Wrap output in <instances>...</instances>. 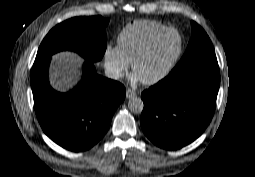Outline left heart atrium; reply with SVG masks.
Returning a JSON list of instances; mask_svg holds the SVG:
<instances>
[{
    "label": "left heart atrium",
    "mask_w": 255,
    "mask_h": 177,
    "mask_svg": "<svg viewBox=\"0 0 255 177\" xmlns=\"http://www.w3.org/2000/svg\"><path fill=\"white\" fill-rule=\"evenodd\" d=\"M131 83H133V84H135V83H137V81L138 80H141L140 79V77L136 74V73H134L132 76H131Z\"/></svg>",
    "instance_id": "1"
}]
</instances>
